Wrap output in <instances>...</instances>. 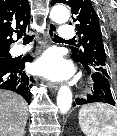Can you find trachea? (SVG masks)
Returning a JSON list of instances; mask_svg holds the SVG:
<instances>
[{"label":"trachea","instance_id":"trachea-1","mask_svg":"<svg viewBox=\"0 0 117 136\" xmlns=\"http://www.w3.org/2000/svg\"><path fill=\"white\" fill-rule=\"evenodd\" d=\"M24 41H32L33 40V36L24 34ZM53 40H57V41H65L64 39H62L61 37H59L58 35L54 34V39ZM67 41H72V40H67Z\"/></svg>","mask_w":117,"mask_h":136}]
</instances>
